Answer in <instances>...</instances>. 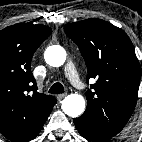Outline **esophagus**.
Wrapping results in <instances>:
<instances>
[{
  "label": "esophagus",
  "instance_id": "obj_1",
  "mask_svg": "<svg viewBox=\"0 0 142 142\" xmlns=\"http://www.w3.org/2000/svg\"><path fill=\"white\" fill-rule=\"evenodd\" d=\"M66 95H67L66 93L59 94V95H57V99H58L59 101H61Z\"/></svg>",
  "mask_w": 142,
  "mask_h": 142
}]
</instances>
